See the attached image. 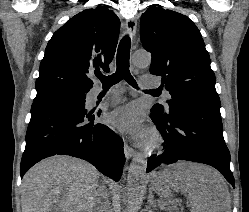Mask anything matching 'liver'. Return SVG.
I'll return each mask as SVG.
<instances>
[{
	"mask_svg": "<svg viewBox=\"0 0 249 212\" xmlns=\"http://www.w3.org/2000/svg\"><path fill=\"white\" fill-rule=\"evenodd\" d=\"M100 174L71 156H52L28 170L22 182V212H94ZM150 188L161 200L182 192L191 212H231L228 186L221 174L193 162H177L150 174Z\"/></svg>",
	"mask_w": 249,
	"mask_h": 212,
	"instance_id": "6515ba94",
	"label": "liver"
}]
</instances>
